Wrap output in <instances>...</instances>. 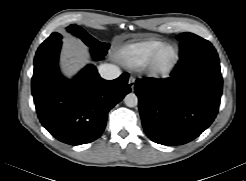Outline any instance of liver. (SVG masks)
Instances as JSON below:
<instances>
[{"label":"liver","instance_id":"liver-1","mask_svg":"<svg viewBox=\"0 0 246 181\" xmlns=\"http://www.w3.org/2000/svg\"><path fill=\"white\" fill-rule=\"evenodd\" d=\"M85 55L86 50L82 46H74L65 51L63 60L68 76H72L77 72L80 64L84 61Z\"/></svg>","mask_w":246,"mask_h":181}]
</instances>
